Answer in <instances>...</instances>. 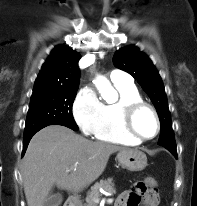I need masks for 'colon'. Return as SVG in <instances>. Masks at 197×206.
<instances>
[{
	"label": "colon",
	"mask_w": 197,
	"mask_h": 206,
	"mask_svg": "<svg viewBox=\"0 0 197 206\" xmlns=\"http://www.w3.org/2000/svg\"><path fill=\"white\" fill-rule=\"evenodd\" d=\"M156 187V181L153 178H148L144 181L137 182L130 194L129 203L131 206H137L141 197L151 189Z\"/></svg>",
	"instance_id": "obj_1"
}]
</instances>
